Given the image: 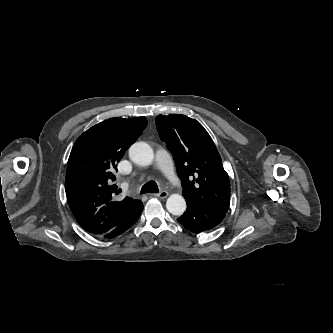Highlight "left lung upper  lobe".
<instances>
[{
  "mask_svg": "<svg viewBox=\"0 0 333 333\" xmlns=\"http://www.w3.org/2000/svg\"><path fill=\"white\" fill-rule=\"evenodd\" d=\"M159 136L172 153L185 199L206 209L227 212L230 181L221 157L203 126L185 115H158Z\"/></svg>",
  "mask_w": 333,
  "mask_h": 333,
  "instance_id": "1",
  "label": "left lung upper lobe"
}]
</instances>
